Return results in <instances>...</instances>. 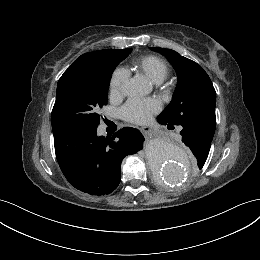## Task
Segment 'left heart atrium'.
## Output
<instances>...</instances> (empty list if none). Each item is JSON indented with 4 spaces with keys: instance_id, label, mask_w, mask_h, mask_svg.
Wrapping results in <instances>:
<instances>
[{
    "instance_id": "left-heart-atrium-1",
    "label": "left heart atrium",
    "mask_w": 260,
    "mask_h": 260,
    "mask_svg": "<svg viewBox=\"0 0 260 260\" xmlns=\"http://www.w3.org/2000/svg\"><path fill=\"white\" fill-rule=\"evenodd\" d=\"M158 110V103L153 99H130L122 107V117L132 123L142 124L147 122Z\"/></svg>"
}]
</instances>
